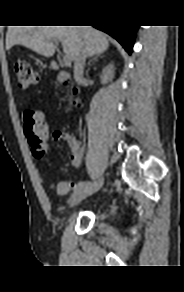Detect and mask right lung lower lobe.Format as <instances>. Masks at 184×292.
I'll return each instance as SVG.
<instances>
[{
  "instance_id": "right-lung-lower-lobe-1",
  "label": "right lung lower lobe",
  "mask_w": 184,
  "mask_h": 292,
  "mask_svg": "<svg viewBox=\"0 0 184 292\" xmlns=\"http://www.w3.org/2000/svg\"><path fill=\"white\" fill-rule=\"evenodd\" d=\"M94 27L114 37L116 40L120 42V44L125 48V50L129 54H131L138 26L99 24L94 25Z\"/></svg>"
}]
</instances>
